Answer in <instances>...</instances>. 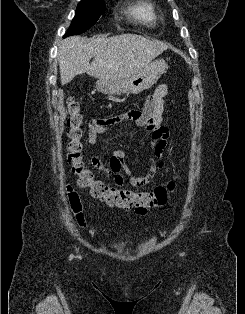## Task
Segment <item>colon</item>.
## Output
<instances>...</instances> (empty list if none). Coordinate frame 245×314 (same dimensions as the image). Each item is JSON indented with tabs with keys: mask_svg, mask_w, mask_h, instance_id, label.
<instances>
[{
	"mask_svg": "<svg viewBox=\"0 0 245 314\" xmlns=\"http://www.w3.org/2000/svg\"><path fill=\"white\" fill-rule=\"evenodd\" d=\"M67 160L73 174L77 177V185L89 189L91 195L110 206L134 208L136 212L147 213L150 209L164 205L168 195L173 191L175 183L170 181L166 185L158 186L151 191L135 192L128 189H118L97 179L94 172L86 166L83 159V124L84 116L80 104L69 100L67 104ZM100 124V121H99ZM71 210L80 226L86 225L83 204L80 195L69 186L67 189Z\"/></svg>",
	"mask_w": 245,
	"mask_h": 314,
	"instance_id": "colon-1",
	"label": "colon"
}]
</instances>
